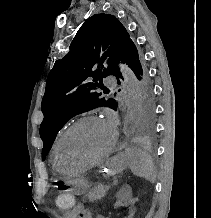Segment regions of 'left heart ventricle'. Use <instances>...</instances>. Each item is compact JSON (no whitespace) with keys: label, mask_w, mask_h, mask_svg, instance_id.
Returning a JSON list of instances; mask_svg holds the SVG:
<instances>
[{"label":"left heart ventricle","mask_w":211,"mask_h":218,"mask_svg":"<svg viewBox=\"0 0 211 218\" xmlns=\"http://www.w3.org/2000/svg\"><path fill=\"white\" fill-rule=\"evenodd\" d=\"M111 143L112 130L105 121H85L67 135L61 148V159L74 163L89 162L103 153Z\"/></svg>","instance_id":"left-heart-ventricle-1"}]
</instances>
